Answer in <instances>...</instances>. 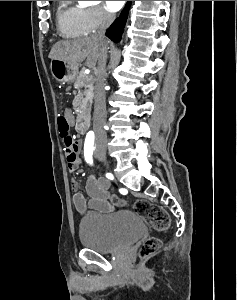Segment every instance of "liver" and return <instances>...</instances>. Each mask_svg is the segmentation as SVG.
Returning a JSON list of instances; mask_svg holds the SVG:
<instances>
[{"mask_svg":"<svg viewBox=\"0 0 237 300\" xmlns=\"http://www.w3.org/2000/svg\"><path fill=\"white\" fill-rule=\"evenodd\" d=\"M104 43L106 45V41ZM101 47V41H97L93 37H84L78 41H58L53 45L49 59H60L69 65H78L86 59L87 67L95 69Z\"/></svg>","mask_w":237,"mask_h":300,"instance_id":"6515ba94","label":"liver"}]
</instances>
